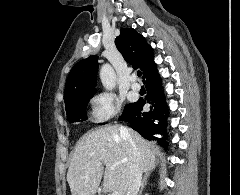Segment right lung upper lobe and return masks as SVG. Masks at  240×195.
<instances>
[{
  "instance_id": "right-lung-upper-lobe-1",
  "label": "right lung upper lobe",
  "mask_w": 240,
  "mask_h": 195,
  "mask_svg": "<svg viewBox=\"0 0 240 195\" xmlns=\"http://www.w3.org/2000/svg\"><path fill=\"white\" fill-rule=\"evenodd\" d=\"M115 44L130 65L142 70L145 84L157 74L153 61V48L133 28H122L121 34L115 39ZM97 59V56H90L79 61L72 68L65 86V106L76 99L94 95L98 70Z\"/></svg>"
}]
</instances>
